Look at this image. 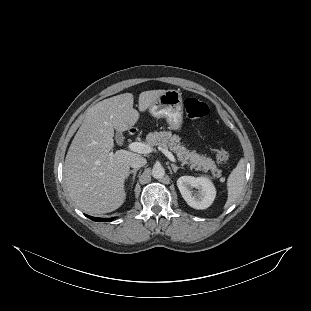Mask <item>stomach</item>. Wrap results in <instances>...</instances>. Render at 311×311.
Instances as JSON below:
<instances>
[{"instance_id": "obj_1", "label": "stomach", "mask_w": 311, "mask_h": 311, "mask_svg": "<svg viewBox=\"0 0 311 311\" xmlns=\"http://www.w3.org/2000/svg\"><path fill=\"white\" fill-rule=\"evenodd\" d=\"M153 116L163 118L169 130L182 133L184 129V107L182 93L168 90L150 109Z\"/></svg>"}]
</instances>
